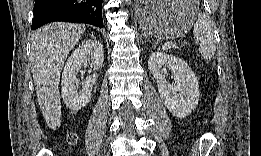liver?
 <instances>
[{
  "label": "liver",
  "instance_id": "obj_1",
  "mask_svg": "<svg viewBox=\"0 0 261 156\" xmlns=\"http://www.w3.org/2000/svg\"><path fill=\"white\" fill-rule=\"evenodd\" d=\"M85 26L53 22L34 32L31 42L32 75L40 110L50 129L61 125L59 82L61 70Z\"/></svg>",
  "mask_w": 261,
  "mask_h": 156
}]
</instances>
